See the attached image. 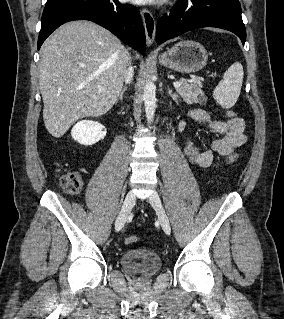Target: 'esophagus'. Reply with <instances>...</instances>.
<instances>
[{
	"label": "esophagus",
	"mask_w": 284,
	"mask_h": 319,
	"mask_svg": "<svg viewBox=\"0 0 284 319\" xmlns=\"http://www.w3.org/2000/svg\"><path fill=\"white\" fill-rule=\"evenodd\" d=\"M141 15H142L144 28H145L147 46L150 47L153 44L154 38H155V31H156L155 18L153 14L145 8L142 9Z\"/></svg>",
	"instance_id": "1"
}]
</instances>
